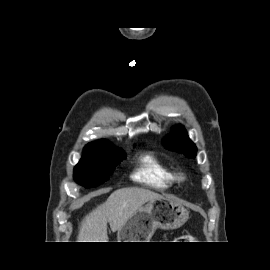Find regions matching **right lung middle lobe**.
Returning a JSON list of instances; mask_svg holds the SVG:
<instances>
[{
	"label": "right lung middle lobe",
	"mask_w": 270,
	"mask_h": 270,
	"mask_svg": "<svg viewBox=\"0 0 270 270\" xmlns=\"http://www.w3.org/2000/svg\"><path fill=\"white\" fill-rule=\"evenodd\" d=\"M126 154L114 146L86 149L74 168V179L85 187H96L112 174Z\"/></svg>",
	"instance_id": "right-lung-middle-lobe-1"
}]
</instances>
